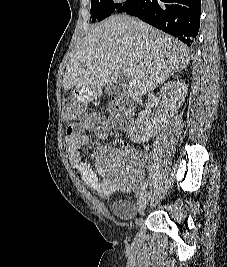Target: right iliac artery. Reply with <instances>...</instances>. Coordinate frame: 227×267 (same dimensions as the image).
Instances as JSON below:
<instances>
[{"label":"right iliac artery","instance_id":"82829eb1","mask_svg":"<svg viewBox=\"0 0 227 267\" xmlns=\"http://www.w3.org/2000/svg\"><path fill=\"white\" fill-rule=\"evenodd\" d=\"M147 185H148V180L145 181V183L143 184V186L141 188V191H140L141 196L143 195L144 191L146 190Z\"/></svg>","mask_w":227,"mask_h":267}]
</instances>
